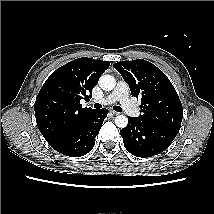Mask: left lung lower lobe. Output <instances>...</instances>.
Returning a JSON list of instances; mask_svg holds the SVG:
<instances>
[{"label":"left lung lower lobe","instance_id":"obj_1","mask_svg":"<svg viewBox=\"0 0 214 214\" xmlns=\"http://www.w3.org/2000/svg\"><path fill=\"white\" fill-rule=\"evenodd\" d=\"M128 125L120 131L124 146L137 157H150L166 150L179 130L128 117Z\"/></svg>","mask_w":214,"mask_h":214}]
</instances>
